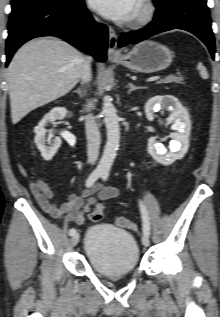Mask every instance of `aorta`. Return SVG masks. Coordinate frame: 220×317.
Returning a JSON list of instances; mask_svg holds the SVG:
<instances>
[{
	"label": "aorta",
	"instance_id": "762f6f07",
	"mask_svg": "<svg viewBox=\"0 0 220 317\" xmlns=\"http://www.w3.org/2000/svg\"><path fill=\"white\" fill-rule=\"evenodd\" d=\"M102 114L104 115L106 126L107 142L98 168L103 171H109L119 148L120 128L117 111L108 97L103 100Z\"/></svg>",
	"mask_w": 220,
	"mask_h": 317
}]
</instances>
